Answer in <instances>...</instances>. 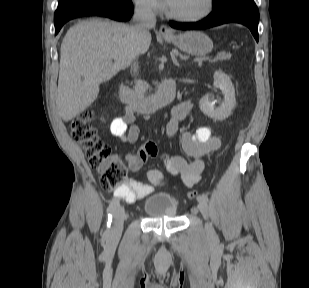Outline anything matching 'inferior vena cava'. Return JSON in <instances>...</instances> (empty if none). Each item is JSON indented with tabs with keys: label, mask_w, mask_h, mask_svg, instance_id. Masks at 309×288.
Returning <instances> with one entry per match:
<instances>
[{
	"label": "inferior vena cava",
	"mask_w": 309,
	"mask_h": 288,
	"mask_svg": "<svg viewBox=\"0 0 309 288\" xmlns=\"http://www.w3.org/2000/svg\"><path fill=\"white\" fill-rule=\"evenodd\" d=\"M134 25L132 26V31L135 34L136 38H140L148 34V30L155 26L156 16L153 12L152 6L148 1H137L135 4L134 10ZM135 56L128 65L131 66L133 73L138 71V63Z\"/></svg>",
	"instance_id": "inferior-vena-cava-1"
}]
</instances>
